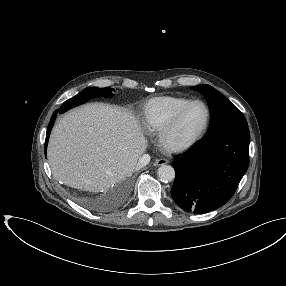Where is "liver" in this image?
<instances>
[{"label":"liver","instance_id":"1","mask_svg":"<svg viewBox=\"0 0 286 286\" xmlns=\"http://www.w3.org/2000/svg\"><path fill=\"white\" fill-rule=\"evenodd\" d=\"M146 147L130 111L91 103L67 113L55 125L48 161L58 181L99 192L130 175Z\"/></svg>","mask_w":286,"mask_h":286}]
</instances>
